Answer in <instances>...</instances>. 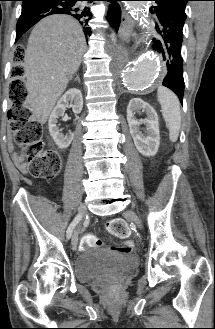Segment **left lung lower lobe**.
<instances>
[{
  "instance_id": "left-lung-lower-lobe-1",
  "label": "left lung lower lobe",
  "mask_w": 215,
  "mask_h": 329,
  "mask_svg": "<svg viewBox=\"0 0 215 329\" xmlns=\"http://www.w3.org/2000/svg\"><path fill=\"white\" fill-rule=\"evenodd\" d=\"M151 13H156L159 20V25L156 24L159 36L152 39V48L162 56L167 67V74L162 84L175 92L180 102L183 103L184 79L181 46L185 19L161 4H157Z\"/></svg>"
}]
</instances>
